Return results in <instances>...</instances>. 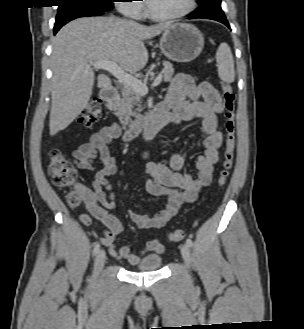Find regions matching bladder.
Returning a JSON list of instances; mask_svg holds the SVG:
<instances>
[{
    "label": "bladder",
    "instance_id": "1",
    "mask_svg": "<svg viewBox=\"0 0 304 329\" xmlns=\"http://www.w3.org/2000/svg\"><path fill=\"white\" fill-rule=\"evenodd\" d=\"M163 265V258L160 254L154 253L141 258L134 266L136 272L159 271Z\"/></svg>",
    "mask_w": 304,
    "mask_h": 329
}]
</instances>
